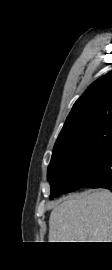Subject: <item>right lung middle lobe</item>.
I'll use <instances>...</instances> for the list:
<instances>
[{
  "label": "right lung middle lobe",
  "mask_w": 112,
  "mask_h": 270,
  "mask_svg": "<svg viewBox=\"0 0 112 270\" xmlns=\"http://www.w3.org/2000/svg\"><path fill=\"white\" fill-rule=\"evenodd\" d=\"M112 143V122L90 128L54 146L47 178L50 198L79 189L89 165Z\"/></svg>",
  "instance_id": "dd1d6c3e"
}]
</instances>
